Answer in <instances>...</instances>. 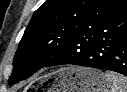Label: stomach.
Wrapping results in <instances>:
<instances>
[{"instance_id":"obj_1","label":"stomach","mask_w":127,"mask_h":92,"mask_svg":"<svg viewBox=\"0 0 127 92\" xmlns=\"http://www.w3.org/2000/svg\"><path fill=\"white\" fill-rule=\"evenodd\" d=\"M47 92H108L111 84L101 71L68 66L47 76Z\"/></svg>"}]
</instances>
